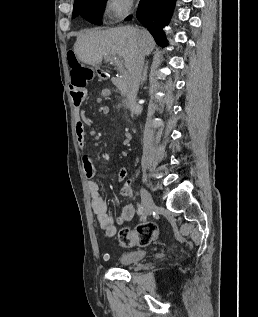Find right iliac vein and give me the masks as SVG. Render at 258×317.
<instances>
[{"label":"right iliac vein","instance_id":"obj_1","mask_svg":"<svg viewBox=\"0 0 258 317\" xmlns=\"http://www.w3.org/2000/svg\"><path fill=\"white\" fill-rule=\"evenodd\" d=\"M140 195L142 197L141 203L144 209L145 215H152L155 207V202L152 200L150 192L145 187H140Z\"/></svg>","mask_w":258,"mask_h":317}]
</instances>
